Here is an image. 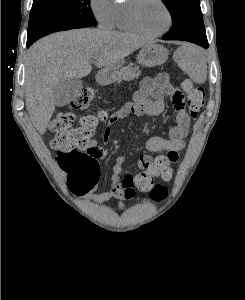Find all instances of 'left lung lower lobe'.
Segmentation results:
<instances>
[{
    "instance_id": "1",
    "label": "left lung lower lobe",
    "mask_w": 245,
    "mask_h": 300,
    "mask_svg": "<svg viewBox=\"0 0 245 300\" xmlns=\"http://www.w3.org/2000/svg\"><path fill=\"white\" fill-rule=\"evenodd\" d=\"M165 40H183L196 43L202 47L207 48L208 42L206 38V33L204 31H197L190 35L181 36V37H163Z\"/></svg>"
}]
</instances>
